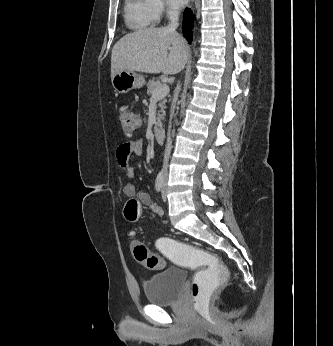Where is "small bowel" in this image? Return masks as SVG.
<instances>
[{
	"mask_svg": "<svg viewBox=\"0 0 333 346\" xmlns=\"http://www.w3.org/2000/svg\"><path fill=\"white\" fill-rule=\"evenodd\" d=\"M143 151L144 142L142 139H135L130 142L122 143L118 146L116 150V159L118 164L124 169L125 176L127 178H133L137 171V167L129 164L130 156H139L143 153ZM123 193L128 197H136L142 205L148 206L155 214H162L161 207L151 202L149 194L145 191L138 190L132 182H127L124 185Z\"/></svg>",
	"mask_w": 333,
	"mask_h": 346,
	"instance_id": "1",
	"label": "small bowel"
}]
</instances>
